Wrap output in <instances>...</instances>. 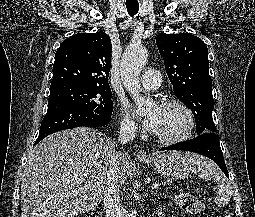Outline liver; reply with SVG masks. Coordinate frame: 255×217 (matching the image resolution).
<instances>
[{
  "label": "liver",
  "mask_w": 255,
  "mask_h": 217,
  "mask_svg": "<svg viewBox=\"0 0 255 217\" xmlns=\"http://www.w3.org/2000/svg\"><path fill=\"white\" fill-rule=\"evenodd\" d=\"M113 143L99 130L77 127L52 134L29 151L21 184V217H75L104 194ZM119 183L131 160L119 152Z\"/></svg>",
  "instance_id": "1"
}]
</instances>
